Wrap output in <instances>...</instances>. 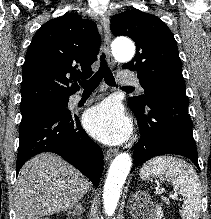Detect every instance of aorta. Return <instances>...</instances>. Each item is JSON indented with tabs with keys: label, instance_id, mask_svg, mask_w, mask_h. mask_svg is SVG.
<instances>
[{
	"label": "aorta",
	"instance_id": "obj_1",
	"mask_svg": "<svg viewBox=\"0 0 211 219\" xmlns=\"http://www.w3.org/2000/svg\"><path fill=\"white\" fill-rule=\"evenodd\" d=\"M113 54L118 61L128 62L135 55V46L130 40L116 42ZM131 168V157L123 152L115 157L110 165L104 184L103 204L107 215H113L121 194L125 180Z\"/></svg>",
	"mask_w": 211,
	"mask_h": 219
}]
</instances>
